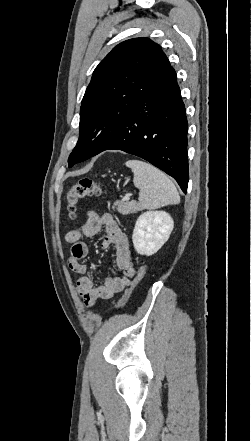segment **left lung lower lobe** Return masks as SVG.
Segmentation results:
<instances>
[{"label": "left lung lower lobe", "mask_w": 251, "mask_h": 441, "mask_svg": "<svg viewBox=\"0 0 251 441\" xmlns=\"http://www.w3.org/2000/svg\"><path fill=\"white\" fill-rule=\"evenodd\" d=\"M187 131L185 106L170 65L128 114L94 125L86 140L87 157L113 149L139 156L172 176L186 192Z\"/></svg>", "instance_id": "1"}]
</instances>
